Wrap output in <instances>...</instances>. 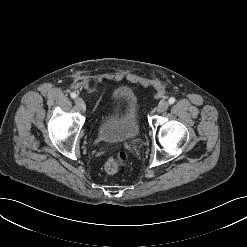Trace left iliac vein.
Listing matches in <instances>:
<instances>
[{"mask_svg":"<svg viewBox=\"0 0 247 247\" xmlns=\"http://www.w3.org/2000/svg\"><path fill=\"white\" fill-rule=\"evenodd\" d=\"M169 107V103L167 101H162L159 103V105L157 106V112L158 113H162L165 112Z\"/></svg>","mask_w":247,"mask_h":247,"instance_id":"1","label":"left iliac vein"}]
</instances>
